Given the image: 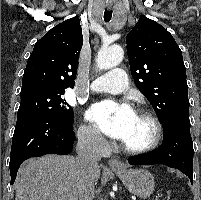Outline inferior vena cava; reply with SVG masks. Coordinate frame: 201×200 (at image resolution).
Listing matches in <instances>:
<instances>
[{"label":"inferior vena cava","mask_w":201,"mask_h":200,"mask_svg":"<svg viewBox=\"0 0 201 200\" xmlns=\"http://www.w3.org/2000/svg\"><path fill=\"white\" fill-rule=\"evenodd\" d=\"M102 138L95 133L81 134L78 136L76 146V168L78 173L79 200H93L94 172L101 159Z\"/></svg>","instance_id":"obj_1"}]
</instances>
